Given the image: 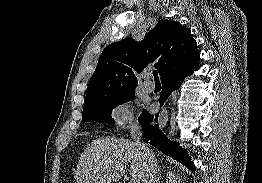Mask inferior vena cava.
Masks as SVG:
<instances>
[{"mask_svg":"<svg viewBox=\"0 0 262 183\" xmlns=\"http://www.w3.org/2000/svg\"><path fill=\"white\" fill-rule=\"evenodd\" d=\"M131 137L136 141L143 160V183H155L157 179V160L153 152L146 144L140 142L142 131L140 125L136 122L130 127Z\"/></svg>","mask_w":262,"mask_h":183,"instance_id":"602c4592","label":"inferior vena cava"}]
</instances>
